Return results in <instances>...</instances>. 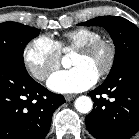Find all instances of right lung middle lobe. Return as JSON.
Listing matches in <instances>:
<instances>
[{
  "mask_svg": "<svg viewBox=\"0 0 139 139\" xmlns=\"http://www.w3.org/2000/svg\"><path fill=\"white\" fill-rule=\"evenodd\" d=\"M39 30L16 22L0 24V60L25 68L23 50Z\"/></svg>",
  "mask_w": 139,
  "mask_h": 139,
  "instance_id": "1",
  "label": "right lung middle lobe"
}]
</instances>
